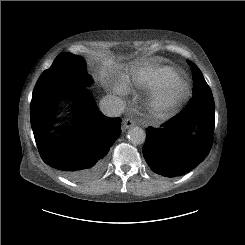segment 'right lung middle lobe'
<instances>
[{
    "label": "right lung middle lobe",
    "mask_w": 245,
    "mask_h": 245,
    "mask_svg": "<svg viewBox=\"0 0 245 245\" xmlns=\"http://www.w3.org/2000/svg\"><path fill=\"white\" fill-rule=\"evenodd\" d=\"M92 82L82 57L66 52L61 53L38 79L31 103L34 104L50 94L81 88Z\"/></svg>",
    "instance_id": "1"
}]
</instances>
